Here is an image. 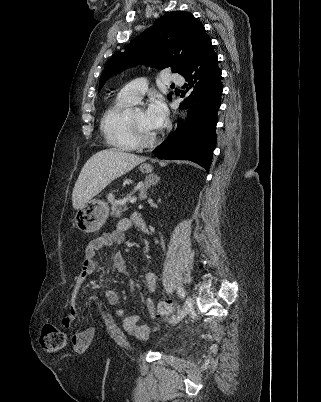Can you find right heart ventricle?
Wrapping results in <instances>:
<instances>
[{"label":"right heart ventricle","instance_id":"e07e8e85","mask_svg":"<svg viewBox=\"0 0 321 402\" xmlns=\"http://www.w3.org/2000/svg\"><path fill=\"white\" fill-rule=\"evenodd\" d=\"M130 104L117 97L105 109L100 122V129L106 143L121 151H133L139 147L131 137L126 124L125 110Z\"/></svg>","mask_w":321,"mask_h":402}]
</instances>
